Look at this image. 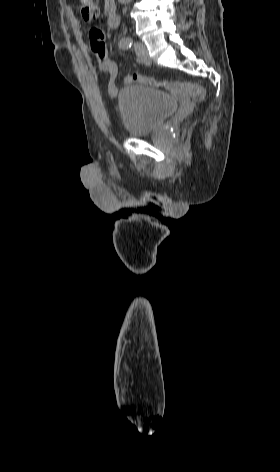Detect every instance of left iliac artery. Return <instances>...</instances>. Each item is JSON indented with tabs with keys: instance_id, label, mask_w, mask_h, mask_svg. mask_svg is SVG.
Instances as JSON below:
<instances>
[{
	"instance_id": "44dca946",
	"label": "left iliac artery",
	"mask_w": 280,
	"mask_h": 472,
	"mask_svg": "<svg viewBox=\"0 0 280 472\" xmlns=\"http://www.w3.org/2000/svg\"><path fill=\"white\" fill-rule=\"evenodd\" d=\"M132 46V38L130 37H125L122 38L119 42V48L123 50H127Z\"/></svg>"
}]
</instances>
